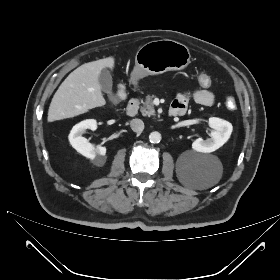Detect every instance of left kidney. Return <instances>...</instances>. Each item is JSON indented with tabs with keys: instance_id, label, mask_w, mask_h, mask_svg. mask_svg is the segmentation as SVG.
Here are the masks:
<instances>
[{
	"instance_id": "obj_1",
	"label": "left kidney",
	"mask_w": 280,
	"mask_h": 280,
	"mask_svg": "<svg viewBox=\"0 0 280 280\" xmlns=\"http://www.w3.org/2000/svg\"><path fill=\"white\" fill-rule=\"evenodd\" d=\"M208 123L214 129L211 132V138L207 140L196 139L192 143V148L197 152L210 153L219 149L228 141L233 131V126L230 122L217 117H210Z\"/></svg>"
}]
</instances>
